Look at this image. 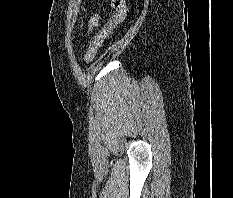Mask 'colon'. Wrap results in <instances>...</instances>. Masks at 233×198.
Wrapping results in <instances>:
<instances>
[{
    "label": "colon",
    "instance_id": "5ec220e1",
    "mask_svg": "<svg viewBox=\"0 0 233 198\" xmlns=\"http://www.w3.org/2000/svg\"><path fill=\"white\" fill-rule=\"evenodd\" d=\"M111 5L115 10L111 19L103 26V28L95 35L89 48L85 54L84 60L86 63H90L96 57L99 49L103 45L105 39L112 33V31L121 24L126 18L127 7L125 0H111ZM99 20L98 14H94L89 21V26L94 27Z\"/></svg>",
    "mask_w": 233,
    "mask_h": 198
}]
</instances>
